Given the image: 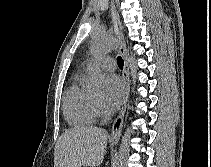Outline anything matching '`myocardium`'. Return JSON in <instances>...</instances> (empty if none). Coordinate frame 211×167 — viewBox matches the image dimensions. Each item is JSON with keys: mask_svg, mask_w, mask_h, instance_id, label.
Returning a JSON list of instances; mask_svg holds the SVG:
<instances>
[{"mask_svg": "<svg viewBox=\"0 0 211 167\" xmlns=\"http://www.w3.org/2000/svg\"><path fill=\"white\" fill-rule=\"evenodd\" d=\"M91 100H92V105L94 107L95 112L101 114L103 112L101 105L96 101V99L93 96L91 97Z\"/></svg>", "mask_w": 211, "mask_h": 167, "instance_id": "myocardium-1", "label": "myocardium"}]
</instances>
